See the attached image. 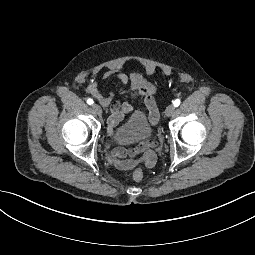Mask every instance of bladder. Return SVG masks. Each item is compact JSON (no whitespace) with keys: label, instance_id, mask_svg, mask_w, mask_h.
Instances as JSON below:
<instances>
[{"label":"bladder","instance_id":"obj_1","mask_svg":"<svg viewBox=\"0 0 255 255\" xmlns=\"http://www.w3.org/2000/svg\"><path fill=\"white\" fill-rule=\"evenodd\" d=\"M154 134V126L148 115L142 110H135L125 122L113 130L110 140L116 144L127 145L149 141Z\"/></svg>","mask_w":255,"mask_h":255}]
</instances>
